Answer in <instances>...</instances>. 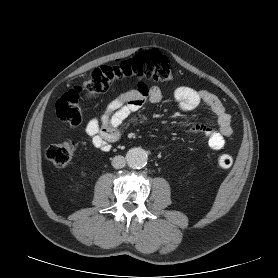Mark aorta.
I'll return each instance as SVG.
<instances>
[{"instance_id": "obj_1", "label": "aorta", "mask_w": 278, "mask_h": 278, "mask_svg": "<svg viewBox=\"0 0 278 278\" xmlns=\"http://www.w3.org/2000/svg\"><path fill=\"white\" fill-rule=\"evenodd\" d=\"M127 164L132 169H140L146 166L148 155L140 147L130 149L126 154Z\"/></svg>"}]
</instances>
